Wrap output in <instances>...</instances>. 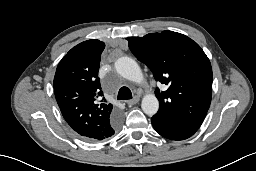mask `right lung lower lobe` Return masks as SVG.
Instances as JSON below:
<instances>
[{
    "instance_id": "right-lung-lower-lobe-1",
    "label": "right lung lower lobe",
    "mask_w": 256,
    "mask_h": 171,
    "mask_svg": "<svg viewBox=\"0 0 256 171\" xmlns=\"http://www.w3.org/2000/svg\"><path fill=\"white\" fill-rule=\"evenodd\" d=\"M120 122H121V117L119 114L114 116V118L111 120L110 127L113 131V134H114L115 130L118 129Z\"/></svg>"
}]
</instances>
